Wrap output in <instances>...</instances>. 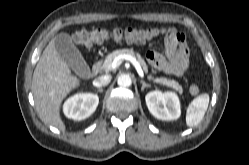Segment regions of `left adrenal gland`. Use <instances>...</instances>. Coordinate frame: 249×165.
Listing matches in <instances>:
<instances>
[{"mask_svg": "<svg viewBox=\"0 0 249 165\" xmlns=\"http://www.w3.org/2000/svg\"><path fill=\"white\" fill-rule=\"evenodd\" d=\"M142 87L141 90L143 91L146 87H151L150 84L146 83L144 80H140Z\"/></svg>", "mask_w": 249, "mask_h": 165, "instance_id": "obj_1", "label": "left adrenal gland"}]
</instances>
